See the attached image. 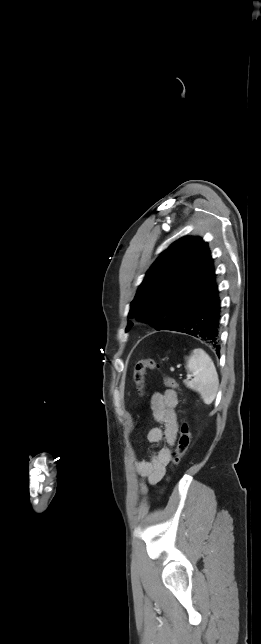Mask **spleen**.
<instances>
[{"label":"spleen","mask_w":261,"mask_h":644,"mask_svg":"<svg viewBox=\"0 0 261 644\" xmlns=\"http://www.w3.org/2000/svg\"><path fill=\"white\" fill-rule=\"evenodd\" d=\"M186 367L194 378L185 380V385L198 392L205 404H211L219 386L218 374L212 359L203 349L197 348L187 358Z\"/></svg>","instance_id":"obj_1"}]
</instances>
